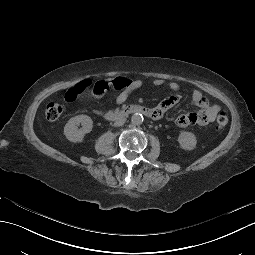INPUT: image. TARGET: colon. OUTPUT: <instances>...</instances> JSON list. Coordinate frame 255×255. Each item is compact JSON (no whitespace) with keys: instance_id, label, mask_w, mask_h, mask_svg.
Masks as SVG:
<instances>
[{"instance_id":"1","label":"colon","mask_w":255,"mask_h":255,"mask_svg":"<svg viewBox=\"0 0 255 255\" xmlns=\"http://www.w3.org/2000/svg\"><path fill=\"white\" fill-rule=\"evenodd\" d=\"M113 84L115 87H120L122 85V80L118 77L114 79ZM63 106L56 102H51L47 104L45 109V116L48 120L53 121L58 119L63 113ZM228 115L225 112H221L214 124V129L216 131H222L228 124Z\"/></svg>"}]
</instances>
